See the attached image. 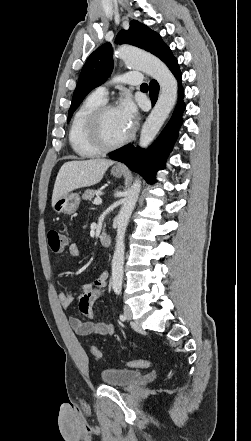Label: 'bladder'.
<instances>
[{
  "instance_id": "1",
  "label": "bladder",
  "mask_w": 251,
  "mask_h": 441,
  "mask_svg": "<svg viewBox=\"0 0 251 441\" xmlns=\"http://www.w3.org/2000/svg\"><path fill=\"white\" fill-rule=\"evenodd\" d=\"M141 372L131 369L108 368L100 373L101 381L109 386L127 387L132 385L139 377Z\"/></svg>"
}]
</instances>
